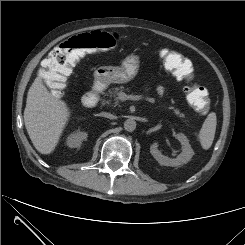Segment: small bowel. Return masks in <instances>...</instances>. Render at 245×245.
<instances>
[{
  "label": "small bowel",
  "mask_w": 245,
  "mask_h": 245,
  "mask_svg": "<svg viewBox=\"0 0 245 245\" xmlns=\"http://www.w3.org/2000/svg\"><path fill=\"white\" fill-rule=\"evenodd\" d=\"M168 53H170V51H167V50L163 51V53H162L163 57H164L166 54H168ZM185 64H186V66H187V68H188L189 73H192V71H193L192 64H191V62H190L188 59H186V58H185ZM158 90H159V92H160L161 94L165 93V89H164L163 87H159Z\"/></svg>",
  "instance_id": "small-bowel-1"
}]
</instances>
